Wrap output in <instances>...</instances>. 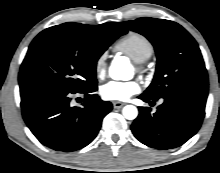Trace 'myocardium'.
I'll return each mask as SVG.
<instances>
[{"instance_id": "1", "label": "myocardium", "mask_w": 220, "mask_h": 173, "mask_svg": "<svg viewBox=\"0 0 220 173\" xmlns=\"http://www.w3.org/2000/svg\"><path fill=\"white\" fill-rule=\"evenodd\" d=\"M138 70H139V71H143V67H142V66H139V67H138Z\"/></svg>"}]
</instances>
